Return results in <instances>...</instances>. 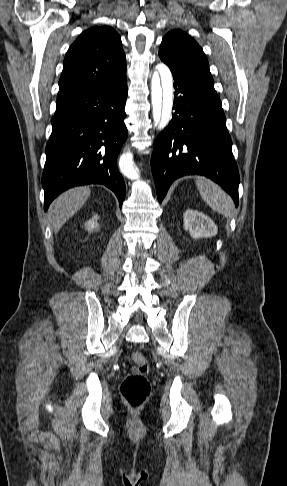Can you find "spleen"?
Masks as SVG:
<instances>
[{
  "mask_svg": "<svg viewBox=\"0 0 287 486\" xmlns=\"http://www.w3.org/2000/svg\"><path fill=\"white\" fill-rule=\"evenodd\" d=\"M196 185L202 199L216 212L230 217L232 211V201L227 193L213 181L197 177Z\"/></svg>",
  "mask_w": 287,
  "mask_h": 486,
  "instance_id": "3e777b00",
  "label": "spleen"
}]
</instances>
